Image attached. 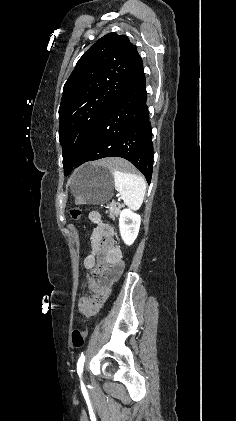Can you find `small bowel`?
I'll return each mask as SVG.
<instances>
[{
    "label": "small bowel",
    "mask_w": 236,
    "mask_h": 421,
    "mask_svg": "<svg viewBox=\"0 0 236 421\" xmlns=\"http://www.w3.org/2000/svg\"><path fill=\"white\" fill-rule=\"evenodd\" d=\"M89 220L94 224L93 240L105 239L108 243L113 242L115 235L114 229L111 225L103 223L102 218L99 212L92 211L89 213ZM92 256L87 257V261L91 262ZM84 306V303L81 304V308ZM82 310V309H81Z\"/></svg>",
    "instance_id": "small-bowel-1"
}]
</instances>
